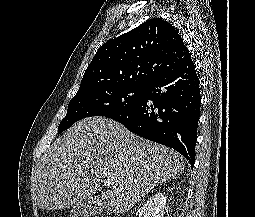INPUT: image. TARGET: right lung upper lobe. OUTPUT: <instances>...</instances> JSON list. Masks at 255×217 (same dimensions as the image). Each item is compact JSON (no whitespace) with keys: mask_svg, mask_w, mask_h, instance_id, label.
<instances>
[{"mask_svg":"<svg viewBox=\"0 0 255 217\" xmlns=\"http://www.w3.org/2000/svg\"><path fill=\"white\" fill-rule=\"evenodd\" d=\"M191 60L178 31L153 18L109 40L96 52L78 91L111 86H147Z\"/></svg>","mask_w":255,"mask_h":217,"instance_id":"cb5924a9","label":"right lung upper lobe"}]
</instances>
